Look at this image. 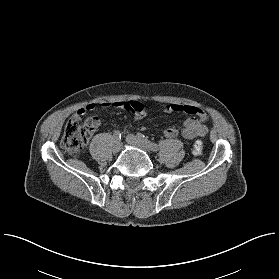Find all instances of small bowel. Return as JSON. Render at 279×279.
Returning <instances> with one entry per match:
<instances>
[{
    "instance_id": "small-bowel-1",
    "label": "small bowel",
    "mask_w": 279,
    "mask_h": 279,
    "mask_svg": "<svg viewBox=\"0 0 279 279\" xmlns=\"http://www.w3.org/2000/svg\"><path fill=\"white\" fill-rule=\"evenodd\" d=\"M113 108H123V102H113L110 104ZM94 108L93 104H87L85 106L80 107L73 115L74 118L80 119L83 115H85L88 111H91ZM164 111L168 114H173L176 112L183 111L191 117L187 118L183 123V128L181 130V134L185 139H193L195 137H204L207 133V126L205 123L208 120V116L206 112L200 108L194 106H181V105H165ZM144 116L143 112H140L137 115V118H142ZM179 134V131L175 127H168L164 130V135L168 138H175Z\"/></svg>"
}]
</instances>
